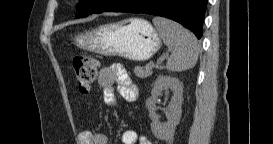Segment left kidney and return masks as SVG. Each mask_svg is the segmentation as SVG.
I'll return each mask as SVG.
<instances>
[{
	"label": "left kidney",
	"instance_id": "obj_1",
	"mask_svg": "<svg viewBox=\"0 0 273 144\" xmlns=\"http://www.w3.org/2000/svg\"><path fill=\"white\" fill-rule=\"evenodd\" d=\"M172 91L171 101L169 102L168 111H166L167 121L161 123L156 114L155 102L163 91ZM183 101V85L171 76L160 75L157 77L151 91V97L146 100V107L149 111V117L152 121L151 130L157 139L169 141L173 138L175 128L181 118V105Z\"/></svg>",
	"mask_w": 273,
	"mask_h": 144
}]
</instances>
